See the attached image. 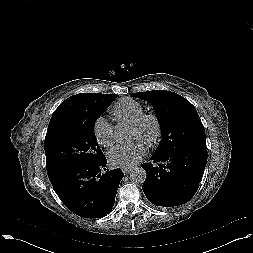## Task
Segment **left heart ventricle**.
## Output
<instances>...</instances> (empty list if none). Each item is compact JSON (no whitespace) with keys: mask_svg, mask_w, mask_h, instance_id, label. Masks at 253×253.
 <instances>
[{"mask_svg":"<svg viewBox=\"0 0 253 253\" xmlns=\"http://www.w3.org/2000/svg\"><path fill=\"white\" fill-rule=\"evenodd\" d=\"M154 134V124L151 121L146 122L140 129L130 127L128 132L129 139H140L145 144Z\"/></svg>","mask_w":253,"mask_h":253,"instance_id":"b2bd125f","label":"left heart ventricle"}]
</instances>
